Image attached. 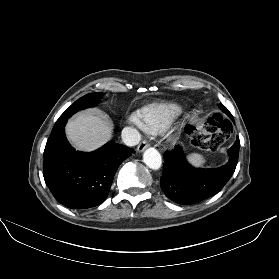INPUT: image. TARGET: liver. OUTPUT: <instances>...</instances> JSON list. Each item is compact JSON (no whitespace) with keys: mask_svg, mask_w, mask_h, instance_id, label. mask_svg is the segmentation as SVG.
Masks as SVG:
<instances>
[{"mask_svg":"<svg viewBox=\"0 0 279 279\" xmlns=\"http://www.w3.org/2000/svg\"><path fill=\"white\" fill-rule=\"evenodd\" d=\"M66 134L77 149L93 151L110 139L112 126L93 113H81L68 122Z\"/></svg>","mask_w":279,"mask_h":279,"instance_id":"1","label":"liver"}]
</instances>
